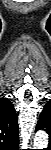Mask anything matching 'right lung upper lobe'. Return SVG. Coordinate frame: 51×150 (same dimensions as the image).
<instances>
[{
	"instance_id": "1",
	"label": "right lung upper lobe",
	"mask_w": 51,
	"mask_h": 150,
	"mask_svg": "<svg viewBox=\"0 0 51 150\" xmlns=\"http://www.w3.org/2000/svg\"><path fill=\"white\" fill-rule=\"evenodd\" d=\"M19 126L16 111L7 98H0L1 148L16 150L19 146Z\"/></svg>"
}]
</instances>
